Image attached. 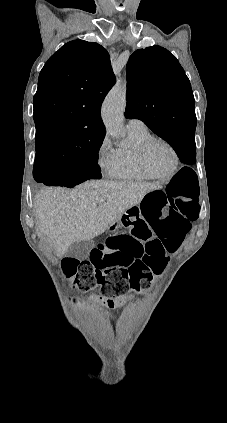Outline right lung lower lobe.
<instances>
[{"label": "right lung lower lobe", "mask_w": 227, "mask_h": 423, "mask_svg": "<svg viewBox=\"0 0 227 423\" xmlns=\"http://www.w3.org/2000/svg\"><path fill=\"white\" fill-rule=\"evenodd\" d=\"M34 179L47 186L73 187L85 179L60 168L57 162L47 160H35L33 169Z\"/></svg>", "instance_id": "obj_1"}]
</instances>
